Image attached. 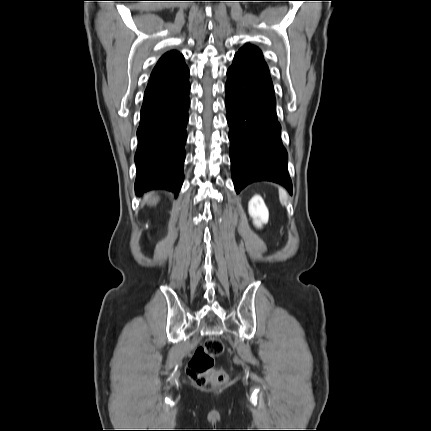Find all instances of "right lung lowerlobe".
I'll list each match as a JSON object with an SVG mask.
<instances>
[{
	"instance_id": "obj_1",
	"label": "right lung lower lobe",
	"mask_w": 431,
	"mask_h": 431,
	"mask_svg": "<svg viewBox=\"0 0 431 431\" xmlns=\"http://www.w3.org/2000/svg\"><path fill=\"white\" fill-rule=\"evenodd\" d=\"M189 75L164 92L143 101L137 130L135 192L152 189L180 191L184 180Z\"/></svg>"
}]
</instances>
